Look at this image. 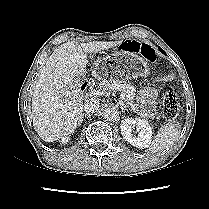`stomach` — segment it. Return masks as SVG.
Returning a JSON list of instances; mask_svg holds the SVG:
<instances>
[{
	"instance_id": "obj_1",
	"label": "stomach",
	"mask_w": 209,
	"mask_h": 209,
	"mask_svg": "<svg viewBox=\"0 0 209 209\" xmlns=\"http://www.w3.org/2000/svg\"><path fill=\"white\" fill-rule=\"evenodd\" d=\"M149 68L145 59L135 52L120 51L115 55H106L94 61L90 67V76L98 84L111 81H124L136 76H147Z\"/></svg>"
}]
</instances>
